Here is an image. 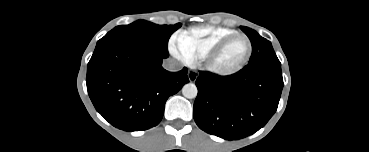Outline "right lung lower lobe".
Segmentation results:
<instances>
[{
	"instance_id": "98d812e1",
	"label": "right lung lower lobe",
	"mask_w": 369,
	"mask_h": 152,
	"mask_svg": "<svg viewBox=\"0 0 369 152\" xmlns=\"http://www.w3.org/2000/svg\"><path fill=\"white\" fill-rule=\"evenodd\" d=\"M146 45L114 41L96 48L87 67V90L99 112L124 131L156 126L169 96L189 82L187 68L168 72L167 58Z\"/></svg>"
}]
</instances>
